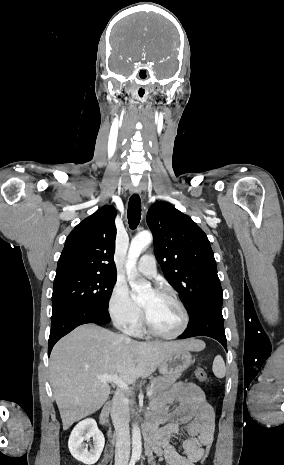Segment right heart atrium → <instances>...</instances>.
I'll return each instance as SVG.
<instances>
[{
  "label": "right heart atrium",
  "instance_id": "obj_1",
  "mask_svg": "<svg viewBox=\"0 0 284 465\" xmlns=\"http://www.w3.org/2000/svg\"><path fill=\"white\" fill-rule=\"evenodd\" d=\"M107 312L114 324L119 328L130 331L136 327L141 318V312L131 301L127 288L122 284H116L107 301Z\"/></svg>",
  "mask_w": 284,
  "mask_h": 465
}]
</instances>
